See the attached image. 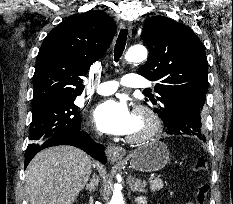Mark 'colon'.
I'll use <instances>...</instances> for the list:
<instances>
[{
	"label": "colon",
	"instance_id": "colon-1",
	"mask_svg": "<svg viewBox=\"0 0 233 204\" xmlns=\"http://www.w3.org/2000/svg\"><path fill=\"white\" fill-rule=\"evenodd\" d=\"M194 172L205 175L208 173L209 167L208 162L205 158H198L193 165ZM210 186L207 182H201L196 189L195 193V204H205Z\"/></svg>",
	"mask_w": 233,
	"mask_h": 204
}]
</instances>
